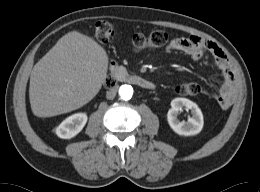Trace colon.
I'll list each match as a JSON object with an SVG mask.
<instances>
[{
    "instance_id": "1",
    "label": "colon",
    "mask_w": 260,
    "mask_h": 192,
    "mask_svg": "<svg viewBox=\"0 0 260 192\" xmlns=\"http://www.w3.org/2000/svg\"><path fill=\"white\" fill-rule=\"evenodd\" d=\"M95 36L101 43H108L115 36V28L112 23L106 20H100L95 24ZM169 40L165 31L157 30L149 35L134 34L131 37V44L135 49L160 48L167 44ZM106 87L110 88L114 85V80L108 77L105 82ZM200 87L196 83L180 84L176 91L181 95H195L200 92Z\"/></svg>"
}]
</instances>
